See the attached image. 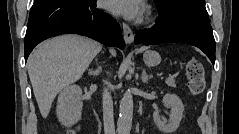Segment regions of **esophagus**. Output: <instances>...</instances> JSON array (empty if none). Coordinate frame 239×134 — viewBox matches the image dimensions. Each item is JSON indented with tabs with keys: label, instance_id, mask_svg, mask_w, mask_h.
Here are the masks:
<instances>
[{
	"label": "esophagus",
	"instance_id": "esophagus-1",
	"mask_svg": "<svg viewBox=\"0 0 239 134\" xmlns=\"http://www.w3.org/2000/svg\"><path fill=\"white\" fill-rule=\"evenodd\" d=\"M123 37L127 44H131L134 40V34L132 29L125 23L122 24Z\"/></svg>",
	"mask_w": 239,
	"mask_h": 134
}]
</instances>
